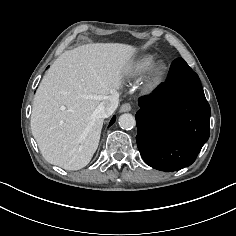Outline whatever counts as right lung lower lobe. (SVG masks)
<instances>
[{
	"instance_id": "obj_1",
	"label": "right lung lower lobe",
	"mask_w": 236,
	"mask_h": 236,
	"mask_svg": "<svg viewBox=\"0 0 236 236\" xmlns=\"http://www.w3.org/2000/svg\"><path fill=\"white\" fill-rule=\"evenodd\" d=\"M115 122V116L112 118L110 125L113 124Z\"/></svg>"
}]
</instances>
